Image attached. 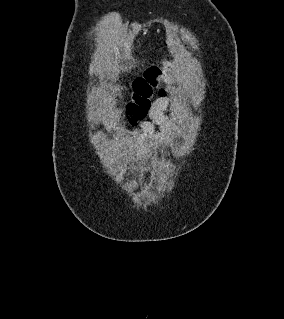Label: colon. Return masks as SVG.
Instances as JSON below:
<instances>
[{
	"label": "colon",
	"instance_id": "1",
	"mask_svg": "<svg viewBox=\"0 0 284 319\" xmlns=\"http://www.w3.org/2000/svg\"><path fill=\"white\" fill-rule=\"evenodd\" d=\"M161 70L151 68L144 76L137 78L133 83V96L126 105L124 115L130 124L143 119L151 107L155 94L164 96L165 90L160 87L159 77Z\"/></svg>",
	"mask_w": 284,
	"mask_h": 319
}]
</instances>
